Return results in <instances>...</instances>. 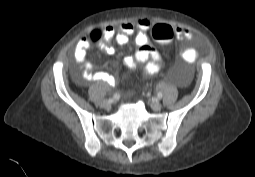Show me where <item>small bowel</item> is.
<instances>
[{
	"instance_id": "1",
	"label": "small bowel",
	"mask_w": 255,
	"mask_h": 177,
	"mask_svg": "<svg viewBox=\"0 0 255 177\" xmlns=\"http://www.w3.org/2000/svg\"><path fill=\"white\" fill-rule=\"evenodd\" d=\"M153 25L154 22L147 18L137 19L134 22H123L119 25L118 30L108 25L100 33L102 40L99 42V47L106 54L112 55L114 53V48L110 45L112 39H115L118 45H126L130 37L134 36L137 50L133 55L123 59L124 65L129 69H134L137 64H143L145 76L155 75L161 70L162 64L160 54L149 42V32ZM174 34L178 41L190 40L193 37L192 32L185 27H176ZM91 44L92 41L87 35L74 48L73 56L77 66L76 77L79 74L84 80L115 86L119 82L117 77L104 71H95L94 65L88 60L87 53ZM196 57L197 53L194 49H186L180 53V58L186 65H191ZM77 79L81 83V80Z\"/></svg>"
}]
</instances>
